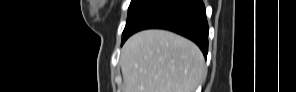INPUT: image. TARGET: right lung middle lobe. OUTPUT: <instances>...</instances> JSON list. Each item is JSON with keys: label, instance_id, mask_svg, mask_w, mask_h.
<instances>
[{"label": "right lung middle lobe", "instance_id": "dd1d6c3e", "mask_svg": "<svg viewBox=\"0 0 296 92\" xmlns=\"http://www.w3.org/2000/svg\"><path fill=\"white\" fill-rule=\"evenodd\" d=\"M153 1L154 0H132L131 1L128 9L127 22L122 34V38H124L130 32L131 27L133 26L135 21Z\"/></svg>", "mask_w": 296, "mask_h": 92}]
</instances>
